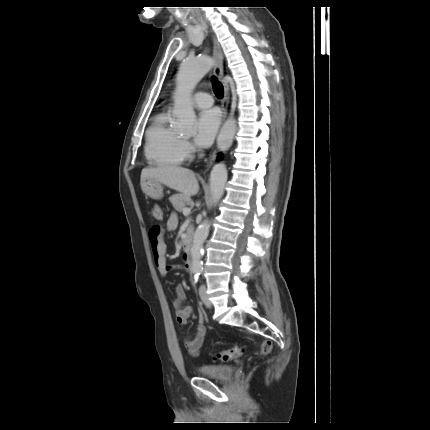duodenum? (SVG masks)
Wrapping results in <instances>:
<instances>
[{"instance_id":"410a0bca","label":"duodenum","mask_w":430,"mask_h":430,"mask_svg":"<svg viewBox=\"0 0 430 430\" xmlns=\"http://www.w3.org/2000/svg\"><path fill=\"white\" fill-rule=\"evenodd\" d=\"M192 249V237L187 234L183 240V251L185 254H189Z\"/></svg>"}]
</instances>
